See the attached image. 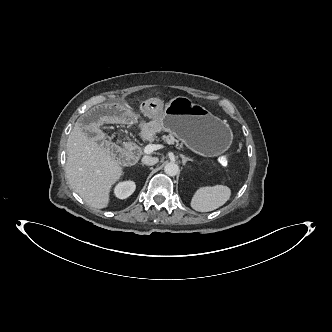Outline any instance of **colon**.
<instances>
[{"instance_id": "obj_1", "label": "colon", "mask_w": 332, "mask_h": 332, "mask_svg": "<svg viewBox=\"0 0 332 332\" xmlns=\"http://www.w3.org/2000/svg\"><path fill=\"white\" fill-rule=\"evenodd\" d=\"M102 147L106 150V151H114L115 147L114 145H112L110 142H103L102 143ZM231 159V154H226L222 157V163L227 166L230 162Z\"/></svg>"}]
</instances>
